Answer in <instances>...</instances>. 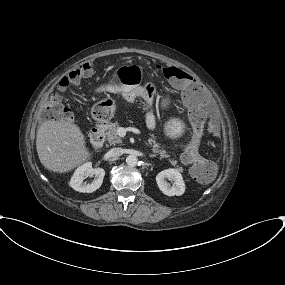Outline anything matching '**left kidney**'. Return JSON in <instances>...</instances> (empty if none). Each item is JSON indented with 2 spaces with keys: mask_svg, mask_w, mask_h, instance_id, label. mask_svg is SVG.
<instances>
[{
  "mask_svg": "<svg viewBox=\"0 0 285 285\" xmlns=\"http://www.w3.org/2000/svg\"><path fill=\"white\" fill-rule=\"evenodd\" d=\"M167 179L173 182L172 186L167 182ZM156 182L159 189L168 196H180L185 191L183 177L177 169L161 171L156 176Z\"/></svg>",
  "mask_w": 285,
  "mask_h": 285,
  "instance_id": "left-kidney-1",
  "label": "left kidney"
}]
</instances>
